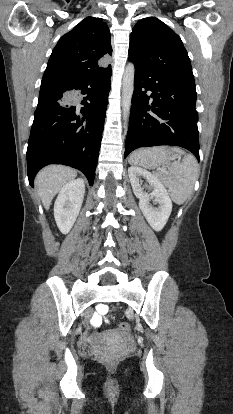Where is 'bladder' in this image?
I'll use <instances>...</instances> for the list:
<instances>
[{
	"mask_svg": "<svg viewBox=\"0 0 233 414\" xmlns=\"http://www.w3.org/2000/svg\"><path fill=\"white\" fill-rule=\"evenodd\" d=\"M115 336H116V334L114 332L109 331V332L103 333L100 336V338H102V340H104V341H107V340H110L111 338H113Z\"/></svg>",
	"mask_w": 233,
	"mask_h": 414,
	"instance_id": "1",
	"label": "bladder"
}]
</instances>
